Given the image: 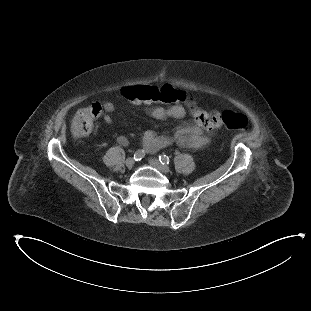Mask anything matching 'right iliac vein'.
Masks as SVG:
<instances>
[{
    "label": "right iliac vein",
    "instance_id": "obj_1",
    "mask_svg": "<svg viewBox=\"0 0 311 311\" xmlns=\"http://www.w3.org/2000/svg\"><path fill=\"white\" fill-rule=\"evenodd\" d=\"M134 164H135V160L132 157L126 159V161H125V165L128 168H132L134 166Z\"/></svg>",
    "mask_w": 311,
    "mask_h": 311
}]
</instances>
